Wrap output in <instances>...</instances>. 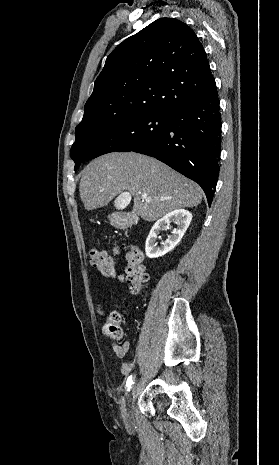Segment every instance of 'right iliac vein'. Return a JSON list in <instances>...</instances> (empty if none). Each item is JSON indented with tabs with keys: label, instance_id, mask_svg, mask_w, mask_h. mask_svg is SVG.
Instances as JSON below:
<instances>
[{
	"label": "right iliac vein",
	"instance_id": "1",
	"mask_svg": "<svg viewBox=\"0 0 279 465\" xmlns=\"http://www.w3.org/2000/svg\"><path fill=\"white\" fill-rule=\"evenodd\" d=\"M136 392H137V389H136V385H134L132 387V390L131 392L127 395L126 397V402H127V405L129 407H131V405L133 404V402L135 401V398H136ZM123 418H124V421L126 424L130 425L132 423V414H131V411H127V409L124 410V413H123Z\"/></svg>",
	"mask_w": 279,
	"mask_h": 465
}]
</instances>
